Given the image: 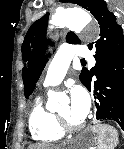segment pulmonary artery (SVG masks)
Returning a JSON list of instances; mask_svg holds the SVG:
<instances>
[{"instance_id":"1","label":"pulmonary artery","mask_w":124,"mask_h":149,"mask_svg":"<svg viewBox=\"0 0 124 149\" xmlns=\"http://www.w3.org/2000/svg\"><path fill=\"white\" fill-rule=\"evenodd\" d=\"M75 58H84L95 65L88 48L83 44H67L60 48L50 63L43 85L45 88H51L59 85L66 76L71 61Z\"/></svg>"}]
</instances>
